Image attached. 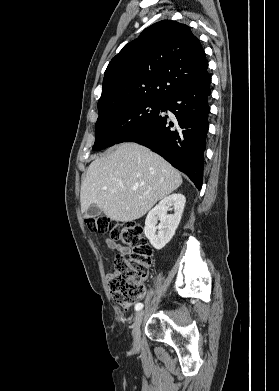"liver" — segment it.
<instances>
[{"instance_id": "1", "label": "liver", "mask_w": 279, "mask_h": 391, "mask_svg": "<svg viewBox=\"0 0 279 391\" xmlns=\"http://www.w3.org/2000/svg\"><path fill=\"white\" fill-rule=\"evenodd\" d=\"M182 184L180 173L161 156L128 142L94 160L81 185V211L97 205L112 220L131 222Z\"/></svg>"}]
</instances>
